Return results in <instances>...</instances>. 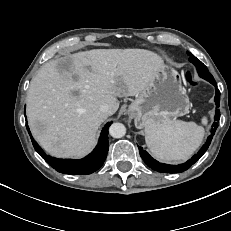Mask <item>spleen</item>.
I'll return each instance as SVG.
<instances>
[{
	"instance_id": "3e777b00",
	"label": "spleen",
	"mask_w": 231,
	"mask_h": 231,
	"mask_svg": "<svg viewBox=\"0 0 231 231\" xmlns=\"http://www.w3.org/2000/svg\"><path fill=\"white\" fill-rule=\"evenodd\" d=\"M207 124V118L202 119ZM204 128L194 122L172 120L150 123L145 128V141L154 157L162 161L186 160L201 145Z\"/></svg>"
}]
</instances>
